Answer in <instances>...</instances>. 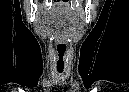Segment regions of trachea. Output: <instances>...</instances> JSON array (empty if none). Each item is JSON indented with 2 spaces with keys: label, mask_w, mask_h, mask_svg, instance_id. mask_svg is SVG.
<instances>
[{
  "label": "trachea",
  "mask_w": 129,
  "mask_h": 92,
  "mask_svg": "<svg viewBox=\"0 0 129 92\" xmlns=\"http://www.w3.org/2000/svg\"><path fill=\"white\" fill-rule=\"evenodd\" d=\"M58 72H59V73H62L63 71H62V70H59Z\"/></svg>",
  "instance_id": "1"
}]
</instances>
